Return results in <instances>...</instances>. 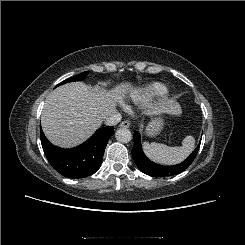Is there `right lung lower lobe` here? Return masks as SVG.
<instances>
[{"label": "right lung lower lobe", "mask_w": 245, "mask_h": 245, "mask_svg": "<svg viewBox=\"0 0 245 245\" xmlns=\"http://www.w3.org/2000/svg\"><path fill=\"white\" fill-rule=\"evenodd\" d=\"M114 127L99 129L85 143L73 149L54 146L40 129L41 144L52 167L69 178H84L98 171Z\"/></svg>", "instance_id": "1"}]
</instances>
